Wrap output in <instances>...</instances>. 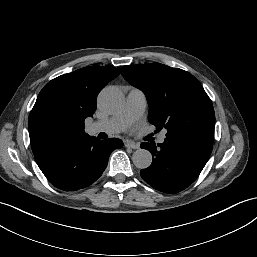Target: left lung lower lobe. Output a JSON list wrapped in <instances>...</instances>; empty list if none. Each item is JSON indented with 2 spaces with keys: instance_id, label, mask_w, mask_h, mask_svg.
I'll return each instance as SVG.
<instances>
[{
  "instance_id": "1",
  "label": "left lung lower lobe",
  "mask_w": 257,
  "mask_h": 257,
  "mask_svg": "<svg viewBox=\"0 0 257 257\" xmlns=\"http://www.w3.org/2000/svg\"><path fill=\"white\" fill-rule=\"evenodd\" d=\"M213 135H186L166 138L162 144L142 143L153 156L150 167L140 171L141 177L153 188L177 193L199 176L212 151Z\"/></svg>"
}]
</instances>
